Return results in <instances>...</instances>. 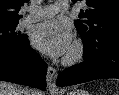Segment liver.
<instances>
[{
    "label": "liver",
    "instance_id": "obj_1",
    "mask_svg": "<svg viewBox=\"0 0 119 95\" xmlns=\"http://www.w3.org/2000/svg\"><path fill=\"white\" fill-rule=\"evenodd\" d=\"M23 87L9 82L0 81V95H22ZM29 95H42L41 92L30 90Z\"/></svg>",
    "mask_w": 119,
    "mask_h": 95
}]
</instances>
